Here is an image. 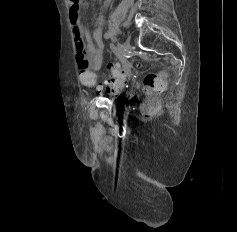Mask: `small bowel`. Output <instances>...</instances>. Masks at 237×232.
<instances>
[{
	"mask_svg": "<svg viewBox=\"0 0 237 232\" xmlns=\"http://www.w3.org/2000/svg\"><path fill=\"white\" fill-rule=\"evenodd\" d=\"M70 20L76 46V59L80 70H92L97 72L103 63V32L98 26L91 34L86 30L80 19V9L83 0H70ZM112 0H104L103 7L107 8Z\"/></svg>",
	"mask_w": 237,
	"mask_h": 232,
	"instance_id": "small-bowel-1",
	"label": "small bowel"
}]
</instances>
